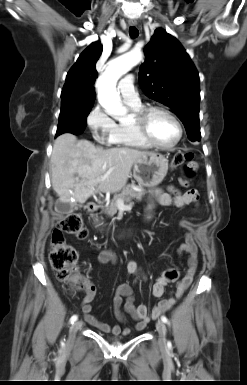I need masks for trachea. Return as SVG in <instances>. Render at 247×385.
<instances>
[{"label":"trachea","instance_id":"obj_1","mask_svg":"<svg viewBox=\"0 0 247 385\" xmlns=\"http://www.w3.org/2000/svg\"><path fill=\"white\" fill-rule=\"evenodd\" d=\"M129 35H130V37L131 38H136V37H138V35H139V31H138V29L136 28V27H134V26H131L130 28H129Z\"/></svg>","mask_w":247,"mask_h":385}]
</instances>
